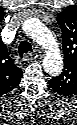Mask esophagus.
Returning <instances> with one entry per match:
<instances>
[{"label":"esophagus","mask_w":77,"mask_h":125,"mask_svg":"<svg viewBox=\"0 0 77 125\" xmlns=\"http://www.w3.org/2000/svg\"><path fill=\"white\" fill-rule=\"evenodd\" d=\"M26 55H29L31 57L33 54L30 52H27Z\"/></svg>","instance_id":"obj_1"}]
</instances>
